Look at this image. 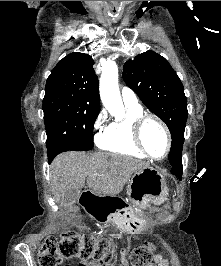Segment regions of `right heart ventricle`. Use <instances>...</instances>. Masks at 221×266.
<instances>
[{"instance_id": "obj_1", "label": "right heart ventricle", "mask_w": 221, "mask_h": 266, "mask_svg": "<svg viewBox=\"0 0 221 266\" xmlns=\"http://www.w3.org/2000/svg\"><path fill=\"white\" fill-rule=\"evenodd\" d=\"M127 115L123 120L112 121L99 135L97 144L105 151L145 158V154L136 146L132 136V121L143 111L141 107H127Z\"/></svg>"}]
</instances>
